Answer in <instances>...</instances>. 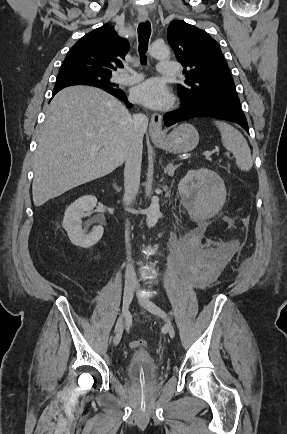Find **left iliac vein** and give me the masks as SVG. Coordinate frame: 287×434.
<instances>
[{
    "label": "left iliac vein",
    "mask_w": 287,
    "mask_h": 434,
    "mask_svg": "<svg viewBox=\"0 0 287 434\" xmlns=\"http://www.w3.org/2000/svg\"><path fill=\"white\" fill-rule=\"evenodd\" d=\"M139 303L152 314L162 318L165 322V327L171 338L175 337V329L172 323L168 320L166 313L153 301L146 296H138Z\"/></svg>",
    "instance_id": "1"
}]
</instances>
